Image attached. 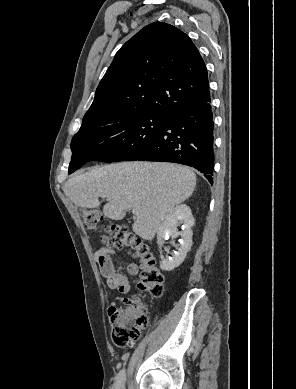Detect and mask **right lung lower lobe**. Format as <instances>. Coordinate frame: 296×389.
<instances>
[{
    "instance_id": "98d812e1",
    "label": "right lung lower lobe",
    "mask_w": 296,
    "mask_h": 389,
    "mask_svg": "<svg viewBox=\"0 0 296 389\" xmlns=\"http://www.w3.org/2000/svg\"><path fill=\"white\" fill-rule=\"evenodd\" d=\"M210 102L208 98L169 115L163 128L136 160L188 165L202 172L213 184L214 122Z\"/></svg>"
}]
</instances>
